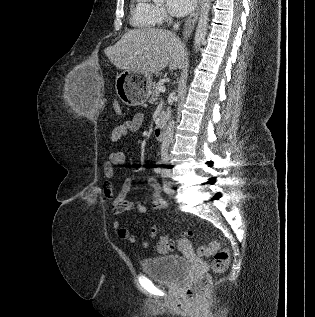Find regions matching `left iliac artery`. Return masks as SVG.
Listing matches in <instances>:
<instances>
[{"instance_id": "obj_1", "label": "left iliac artery", "mask_w": 315, "mask_h": 317, "mask_svg": "<svg viewBox=\"0 0 315 317\" xmlns=\"http://www.w3.org/2000/svg\"><path fill=\"white\" fill-rule=\"evenodd\" d=\"M164 190L167 191L168 190V186L164 185Z\"/></svg>"}]
</instances>
